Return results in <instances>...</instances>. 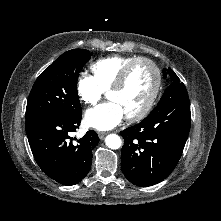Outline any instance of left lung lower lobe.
<instances>
[{
  "mask_svg": "<svg viewBox=\"0 0 221 221\" xmlns=\"http://www.w3.org/2000/svg\"><path fill=\"white\" fill-rule=\"evenodd\" d=\"M191 124L188 94L164 96L139 124L120 132L124 138L121 168L137 186H151L165 179L176 167Z\"/></svg>",
  "mask_w": 221,
  "mask_h": 221,
  "instance_id": "left-lung-lower-lobe-1",
  "label": "left lung lower lobe"
}]
</instances>
